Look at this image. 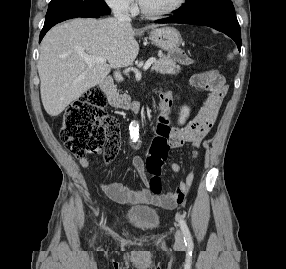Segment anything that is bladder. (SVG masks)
I'll return each mask as SVG.
<instances>
[{"label": "bladder", "instance_id": "obj_1", "mask_svg": "<svg viewBox=\"0 0 286 269\" xmlns=\"http://www.w3.org/2000/svg\"><path fill=\"white\" fill-rule=\"evenodd\" d=\"M127 221L142 231H154L160 225V214L152 207H132L127 211Z\"/></svg>", "mask_w": 286, "mask_h": 269}]
</instances>
